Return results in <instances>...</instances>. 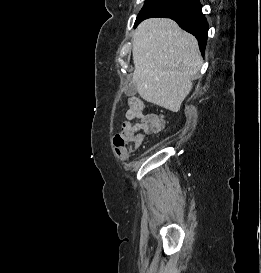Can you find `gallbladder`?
<instances>
[{"mask_svg":"<svg viewBox=\"0 0 261 273\" xmlns=\"http://www.w3.org/2000/svg\"><path fill=\"white\" fill-rule=\"evenodd\" d=\"M136 93H137V88H136L135 83L132 81V82L128 85L127 89L125 90V94H126L127 96H134Z\"/></svg>","mask_w":261,"mask_h":273,"instance_id":"1","label":"gallbladder"}]
</instances>
